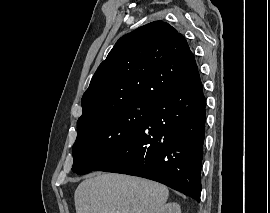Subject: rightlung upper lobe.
<instances>
[{
    "instance_id": "obj_1",
    "label": "right lung upper lobe",
    "mask_w": 270,
    "mask_h": 213,
    "mask_svg": "<svg viewBox=\"0 0 270 213\" xmlns=\"http://www.w3.org/2000/svg\"><path fill=\"white\" fill-rule=\"evenodd\" d=\"M197 64L183 35L154 21L121 37L82 97L77 123L135 101L156 104L182 85Z\"/></svg>"
}]
</instances>
